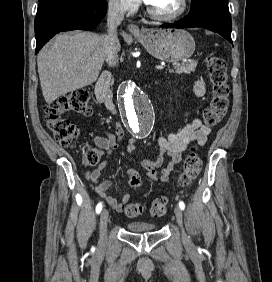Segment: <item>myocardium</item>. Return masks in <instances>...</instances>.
<instances>
[{
  "label": "myocardium",
  "mask_w": 272,
  "mask_h": 282,
  "mask_svg": "<svg viewBox=\"0 0 272 282\" xmlns=\"http://www.w3.org/2000/svg\"><path fill=\"white\" fill-rule=\"evenodd\" d=\"M187 9H188V0H181L180 10H178L174 14H169V15L155 12L154 10H152L150 8L149 5H147V12L151 17H153L155 19H159V20H164V21H173V20H176L178 18H181L182 16H184Z\"/></svg>",
  "instance_id": "1"
}]
</instances>
